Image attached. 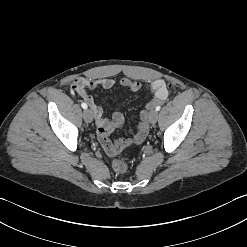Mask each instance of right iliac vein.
Segmentation results:
<instances>
[{
	"mask_svg": "<svg viewBox=\"0 0 247 247\" xmlns=\"http://www.w3.org/2000/svg\"><path fill=\"white\" fill-rule=\"evenodd\" d=\"M83 118L84 120L87 122V123H90L92 122L93 120V113L90 109H86L84 112H83Z\"/></svg>",
	"mask_w": 247,
	"mask_h": 247,
	"instance_id": "obj_1",
	"label": "right iliac vein"
}]
</instances>
